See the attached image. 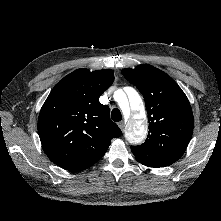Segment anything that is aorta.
<instances>
[{"label":"aorta","mask_w":221,"mask_h":221,"mask_svg":"<svg viewBox=\"0 0 221 221\" xmlns=\"http://www.w3.org/2000/svg\"><path fill=\"white\" fill-rule=\"evenodd\" d=\"M118 104L124 114L129 115L130 109L134 112L126 132L127 140L132 144L141 142L146 137L147 123L145 107L140 95L134 89L130 90L128 98L124 92H121Z\"/></svg>","instance_id":"762f6f07"}]
</instances>
